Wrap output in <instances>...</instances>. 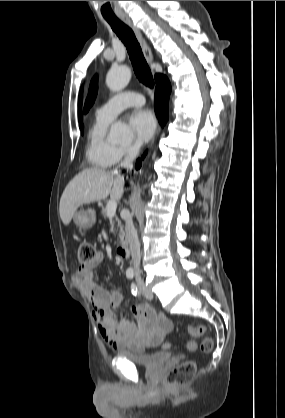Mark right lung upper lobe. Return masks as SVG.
Returning a JSON list of instances; mask_svg holds the SVG:
<instances>
[{
  "label": "right lung upper lobe",
  "mask_w": 285,
  "mask_h": 418,
  "mask_svg": "<svg viewBox=\"0 0 285 418\" xmlns=\"http://www.w3.org/2000/svg\"><path fill=\"white\" fill-rule=\"evenodd\" d=\"M158 75H159V74H156V75H155V79H157ZM81 105H82V90H81L80 95H79V103H78V107H79V108H81ZM78 117H79V121H82V115H81V113H80V112H79V114H78ZM82 127H83V125H82V123H80V128H82Z\"/></svg>",
  "instance_id": "1"
}]
</instances>
